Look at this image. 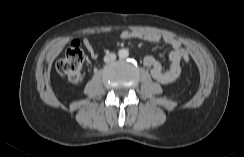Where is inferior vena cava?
Instances as JSON below:
<instances>
[{
    "mask_svg": "<svg viewBox=\"0 0 244 157\" xmlns=\"http://www.w3.org/2000/svg\"><path fill=\"white\" fill-rule=\"evenodd\" d=\"M116 59V55L114 53H109L104 56V62H112Z\"/></svg>",
    "mask_w": 244,
    "mask_h": 157,
    "instance_id": "602c4592",
    "label": "inferior vena cava"
}]
</instances>
